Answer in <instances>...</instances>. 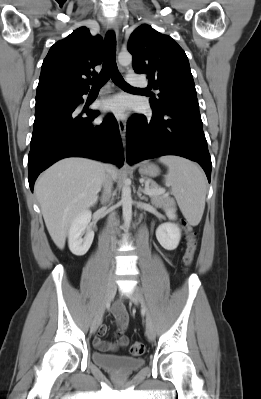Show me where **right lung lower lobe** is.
<instances>
[{"label":"right lung lower lobe","instance_id":"right-lung-lower-lobe-1","mask_svg":"<svg viewBox=\"0 0 261 399\" xmlns=\"http://www.w3.org/2000/svg\"><path fill=\"white\" fill-rule=\"evenodd\" d=\"M82 95L70 101L35 108L34 130L28 155V181L31 191L38 175L56 161L71 156L110 162L121 167L124 162L119 127L109 114L101 123L93 124L98 111L76 116Z\"/></svg>","mask_w":261,"mask_h":399}]
</instances>
